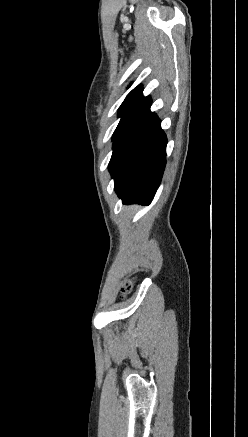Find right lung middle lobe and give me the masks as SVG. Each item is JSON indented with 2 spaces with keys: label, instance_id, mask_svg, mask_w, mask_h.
<instances>
[{
  "label": "right lung middle lobe",
  "instance_id": "right-lung-middle-lobe-1",
  "mask_svg": "<svg viewBox=\"0 0 248 437\" xmlns=\"http://www.w3.org/2000/svg\"><path fill=\"white\" fill-rule=\"evenodd\" d=\"M139 95H130L127 96L126 99L123 101V103L121 104L119 111H118V116L121 117V120L113 134V138L115 137V135L117 134V132L119 131V129L121 128L123 121L125 119V117L127 116V114L129 113V111L131 110V108L133 107V105L135 104V102L137 101Z\"/></svg>",
  "mask_w": 248,
  "mask_h": 437
}]
</instances>
